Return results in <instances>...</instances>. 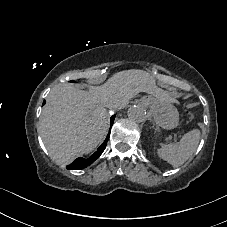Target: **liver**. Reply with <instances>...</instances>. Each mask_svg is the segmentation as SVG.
Returning a JSON list of instances; mask_svg holds the SVG:
<instances>
[{
  "label": "liver",
  "instance_id": "1",
  "mask_svg": "<svg viewBox=\"0 0 227 227\" xmlns=\"http://www.w3.org/2000/svg\"><path fill=\"white\" fill-rule=\"evenodd\" d=\"M154 91V80L141 70L117 73L105 85L92 87L91 92L68 83L53 87L39 122L51 159L64 164L92 152L108 129L105 107H113L112 100H129L139 92Z\"/></svg>",
  "mask_w": 227,
  "mask_h": 227
}]
</instances>
